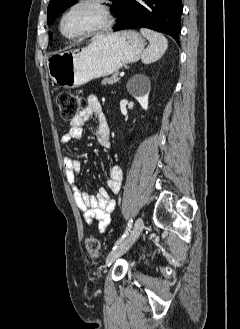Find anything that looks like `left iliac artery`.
Wrapping results in <instances>:
<instances>
[{"label": "left iliac artery", "instance_id": "obj_1", "mask_svg": "<svg viewBox=\"0 0 240 329\" xmlns=\"http://www.w3.org/2000/svg\"><path fill=\"white\" fill-rule=\"evenodd\" d=\"M132 225H133V220L130 219L126 226V230H125L124 234L122 235V237L120 239L117 240L113 249H116L117 245H119L131 233Z\"/></svg>", "mask_w": 240, "mask_h": 329}]
</instances>
